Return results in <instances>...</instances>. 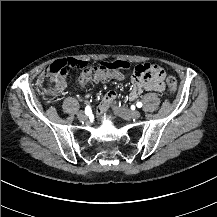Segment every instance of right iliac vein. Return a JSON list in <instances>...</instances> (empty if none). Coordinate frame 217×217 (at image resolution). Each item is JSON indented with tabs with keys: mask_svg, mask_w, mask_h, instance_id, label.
<instances>
[{
	"mask_svg": "<svg viewBox=\"0 0 217 217\" xmlns=\"http://www.w3.org/2000/svg\"><path fill=\"white\" fill-rule=\"evenodd\" d=\"M77 118L80 120V121H84L87 119L86 115L83 113V112H79L77 114Z\"/></svg>",
	"mask_w": 217,
	"mask_h": 217,
	"instance_id": "63e3f726",
	"label": "right iliac vein"
}]
</instances>
